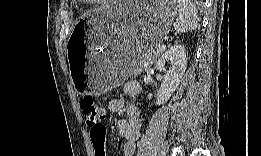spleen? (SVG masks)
<instances>
[{"instance_id": "spleen-1", "label": "spleen", "mask_w": 261, "mask_h": 156, "mask_svg": "<svg viewBox=\"0 0 261 156\" xmlns=\"http://www.w3.org/2000/svg\"><path fill=\"white\" fill-rule=\"evenodd\" d=\"M178 15L174 22V28L178 33L192 31L198 25V11L195 4L190 0H180L177 5Z\"/></svg>"}]
</instances>
